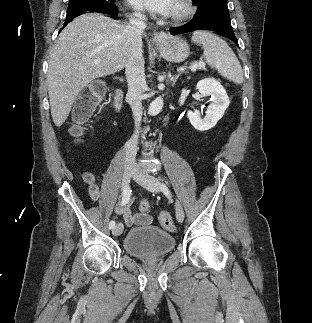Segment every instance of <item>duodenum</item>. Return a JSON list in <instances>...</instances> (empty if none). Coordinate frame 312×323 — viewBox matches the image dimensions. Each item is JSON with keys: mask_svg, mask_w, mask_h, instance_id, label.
I'll return each instance as SVG.
<instances>
[{"mask_svg": "<svg viewBox=\"0 0 312 323\" xmlns=\"http://www.w3.org/2000/svg\"><path fill=\"white\" fill-rule=\"evenodd\" d=\"M115 111L118 114H122L125 109L124 104V90L121 87L115 89V101H114Z\"/></svg>", "mask_w": 312, "mask_h": 323, "instance_id": "1", "label": "duodenum"}]
</instances>
